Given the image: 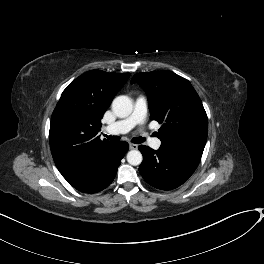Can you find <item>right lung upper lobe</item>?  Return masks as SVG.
Listing matches in <instances>:
<instances>
[{"label":"right lung upper lobe","mask_w":264,"mask_h":264,"mask_svg":"<svg viewBox=\"0 0 264 264\" xmlns=\"http://www.w3.org/2000/svg\"><path fill=\"white\" fill-rule=\"evenodd\" d=\"M130 73L91 70L63 91L50 123V148L56 167L66 180L91 169L112 145L97 136L101 118Z\"/></svg>","instance_id":"1"}]
</instances>
